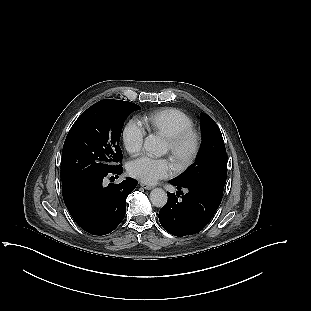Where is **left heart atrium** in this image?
<instances>
[{
    "instance_id": "left-heart-atrium-1",
    "label": "left heart atrium",
    "mask_w": 311,
    "mask_h": 311,
    "mask_svg": "<svg viewBox=\"0 0 311 311\" xmlns=\"http://www.w3.org/2000/svg\"><path fill=\"white\" fill-rule=\"evenodd\" d=\"M128 171L131 176L145 183H154L159 179L167 177L172 166L165 158H153L147 155L132 161Z\"/></svg>"
}]
</instances>
